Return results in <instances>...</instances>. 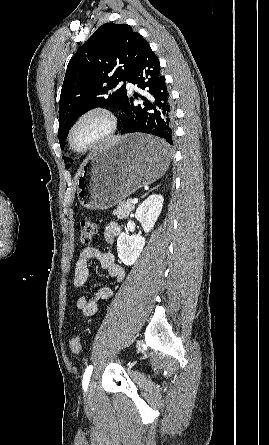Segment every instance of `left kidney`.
I'll return each instance as SVG.
<instances>
[{
  "label": "left kidney",
  "instance_id": "1",
  "mask_svg": "<svg viewBox=\"0 0 269 445\" xmlns=\"http://www.w3.org/2000/svg\"><path fill=\"white\" fill-rule=\"evenodd\" d=\"M163 201V196L153 194L137 208L135 218L141 223L146 233L153 229L162 211ZM144 246V237L121 233L117 239L118 257L125 265L131 266L137 261Z\"/></svg>",
  "mask_w": 269,
  "mask_h": 445
}]
</instances>
